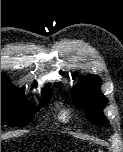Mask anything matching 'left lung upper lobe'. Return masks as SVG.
Here are the masks:
<instances>
[{
	"instance_id": "5c2ea615",
	"label": "left lung upper lobe",
	"mask_w": 123,
	"mask_h": 152,
	"mask_svg": "<svg viewBox=\"0 0 123 152\" xmlns=\"http://www.w3.org/2000/svg\"><path fill=\"white\" fill-rule=\"evenodd\" d=\"M100 78L97 76L83 77L73 89L72 98L79 107H84L89 121L98 125L109 123L102 113L107 98L100 91Z\"/></svg>"
}]
</instances>
